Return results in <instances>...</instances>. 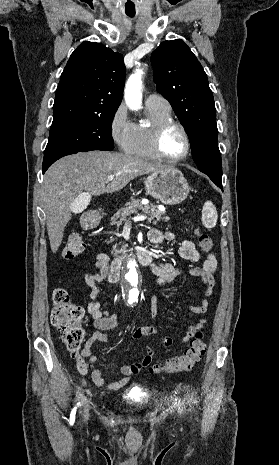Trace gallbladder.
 I'll list each match as a JSON object with an SVG mask.
<instances>
[{
  "label": "gallbladder",
  "instance_id": "obj_1",
  "mask_svg": "<svg viewBox=\"0 0 279 465\" xmlns=\"http://www.w3.org/2000/svg\"><path fill=\"white\" fill-rule=\"evenodd\" d=\"M71 206L74 212L78 214V213H81L85 209L86 203L82 197L78 196L75 200L72 201Z\"/></svg>",
  "mask_w": 279,
  "mask_h": 465
}]
</instances>
